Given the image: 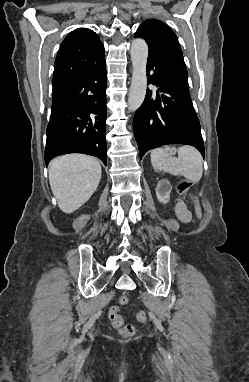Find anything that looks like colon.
Segmentation results:
<instances>
[{"label": "colon", "mask_w": 249, "mask_h": 382, "mask_svg": "<svg viewBox=\"0 0 249 382\" xmlns=\"http://www.w3.org/2000/svg\"><path fill=\"white\" fill-rule=\"evenodd\" d=\"M189 187H190V183L188 181H181L178 184L177 190L180 193H184L185 191H187ZM128 302H129V298L127 296L120 297V303L122 305H126L128 304ZM136 317L140 323H145L147 321V316L145 312H142V311L138 312ZM109 318L112 321L114 327L119 329V332L123 337H131L134 335L135 327L131 324H123V321L119 315V309L117 307H112L109 310Z\"/></svg>", "instance_id": "colon-1"}]
</instances>
